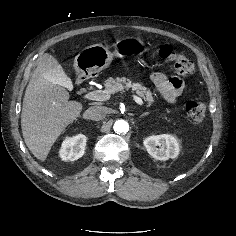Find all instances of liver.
I'll return each instance as SVG.
<instances>
[{"label": "liver", "instance_id": "1", "mask_svg": "<svg viewBox=\"0 0 236 236\" xmlns=\"http://www.w3.org/2000/svg\"><path fill=\"white\" fill-rule=\"evenodd\" d=\"M49 79L38 62L26 88L21 128L31 153L45 161L52 145L65 128L79 117L82 104L69 101L68 91Z\"/></svg>", "mask_w": 236, "mask_h": 236}]
</instances>
